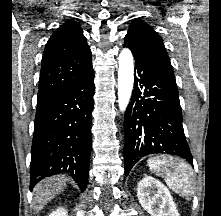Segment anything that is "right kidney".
I'll return each instance as SVG.
<instances>
[{"label":"right kidney","mask_w":221,"mask_h":216,"mask_svg":"<svg viewBox=\"0 0 221 216\" xmlns=\"http://www.w3.org/2000/svg\"><path fill=\"white\" fill-rule=\"evenodd\" d=\"M48 216H68V215L66 209H64L63 207H59L55 211L50 213Z\"/></svg>","instance_id":"ca27d5eb"}]
</instances>
